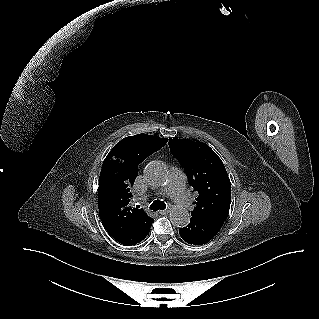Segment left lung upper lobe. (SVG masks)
<instances>
[{"label":"left lung upper lobe","instance_id":"left-lung-upper-lobe-1","mask_svg":"<svg viewBox=\"0 0 319 319\" xmlns=\"http://www.w3.org/2000/svg\"><path fill=\"white\" fill-rule=\"evenodd\" d=\"M168 144L197 194L191 216L225 221L230 209L231 183L222 160L202 142L169 138Z\"/></svg>","mask_w":319,"mask_h":319}]
</instances>
